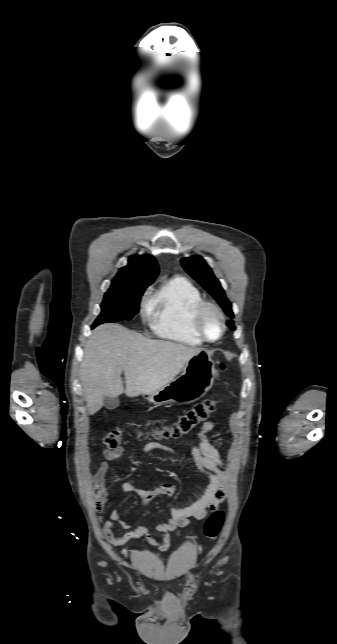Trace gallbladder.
<instances>
[{
  "label": "gallbladder",
  "instance_id": "gallbladder-1",
  "mask_svg": "<svg viewBox=\"0 0 337 644\" xmlns=\"http://www.w3.org/2000/svg\"><path fill=\"white\" fill-rule=\"evenodd\" d=\"M103 400H104V406L108 410H114L119 406L118 398H112V397H107L106 396V397L103 398Z\"/></svg>",
  "mask_w": 337,
  "mask_h": 644
}]
</instances>
